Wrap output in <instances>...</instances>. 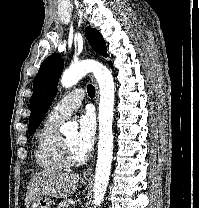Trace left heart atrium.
<instances>
[{
	"instance_id": "39dd6f15",
	"label": "left heart atrium",
	"mask_w": 199,
	"mask_h": 208,
	"mask_svg": "<svg viewBox=\"0 0 199 208\" xmlns=\"http://www.w3.org/2000/svg\"><path fill=\"white\" fill-rule=\"evenodd\" d=\"M78 133L76 146L79 151L86 155L94 143L95 120L91 112L87 111L80 115L77 120Z\"/></svg>"
}]
</instances>
